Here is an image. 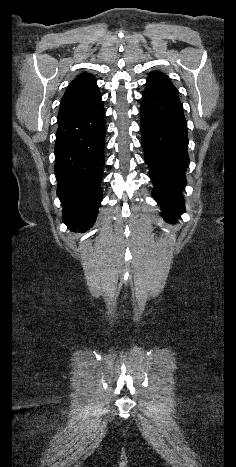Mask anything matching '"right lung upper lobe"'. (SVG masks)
I'll return each instance as SVG.
<instances>
[{
  "label": "right lung upper lobe",
  "instance_id": "cb5924a9",
  "mask_svg": "<svg viewBox=\"0 0 236 467\" xmlns=\"http://www.w3.org/2000/svg\"><path fill=\"white\" fill-rule=\"evenodd\" d=\"M100 96L95 76L83 73L75 78L63 95L57 119L75 114L96 101Z\"/></svg>",
  "mask_w": 236,
  "mask_h": 467
}]
</instances>
